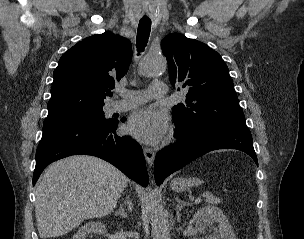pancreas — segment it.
<instances>
[{
	"label": "pancreas",
	"instance_id": "pancreas-1",
	"mask_svg": "<svg viewBox=\"0 0 304 239\" xmlns=\"http://www.w3.org/2000/svg\"><path fill=\"white\" fill-rule=\"evenodd\" d=\"M207 197V202L211 203V204H219L222 202V199L215 197L213 195H206Z\"/></svg>",
	"mask_w": 304,
	"mask_h": 239
}]
</instances>
